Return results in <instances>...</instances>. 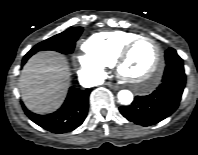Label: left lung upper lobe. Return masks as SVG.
<instances>
[{
	"instance_id": "obj_1",
	"label": "left lung upper lobe",
	"mask_w": 198,
	"mask_h": 155,
	"mask_svg": "<svg viewBox=\"0 0 198 155\" xmlns=\"http://www.w3.org/2000/svg\"><path fill=\"white\" fill-rule=\"evenodd\" d=\"M166 65L170 63H183L182 58L177 54L173 48H169L165 52Z\"/></svg>"
}]
</instances>
